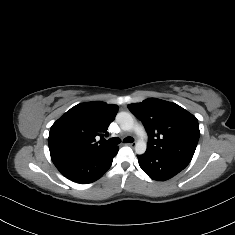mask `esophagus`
Masks as SVG:
<instances>
[{
	"label": "esophagus",
	"instance_id": "34e87169",
	"mask_svg": "<svg viewBox=\"0 0 235 235\" xmlns=\"http://www.w3.org/2000/svg\"><path fill=\"white\" fill-rule=\"evenodd\" d=\"M124 145H127V146H130V147H135V145H136V143L135 142H133V143H127V144H124Z\"/></svg>",
	"mask_w": 235,
	"mask_h": 235
}]
</instances>
